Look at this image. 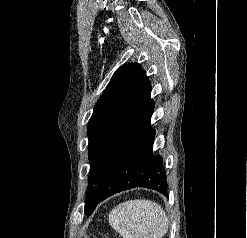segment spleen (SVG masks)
I'll return each mask as SVG.
<instances>
[{
	"mask_svg": "<svg viewBox=\"0 0 247 238\" xmlns=\"http://www.w3.org/2000/svg\"><path fill=\"white\" fill-rule=\"evenodd\" d=\"M108 220L123 238H162L168 230L165 211L150 200L125 201L110 212Z\"/></svg>",
	"mask_w": 247,
	"mask_h": 238,
	"instance_id": "spleen-1",
	"label": "spleen"
}]
</instances>
